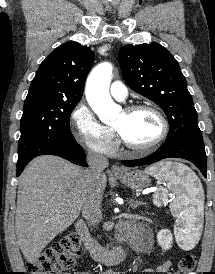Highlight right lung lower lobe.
Returning <instances> with one entry per match:
<instances>
[{
    "mask_svg": "<svg viewBox=\"0 0 215 274\" xmlns=\"http://www.w3.org/2000/svg\"><path fill=\"white\" fill-rule=\"evenodd\" d=\"M40 155H56V156L62 157L64 159H67L74 164H80L82 166H86V164L84 162V160H85L84 150L77 142L75 144L62 145V146H56V147L49 148V149L41 152L37 156H40ZM32 159H30L28 161L17 163V172H16L17 176H19L21 174V172L23 171L25 166Z\"/></svg>",
    "mask_w": 215,
    "mask_h": 274,
    "instance_id": "obj_1",
    "label": "right lung lower lobe"
}]
</instances>
